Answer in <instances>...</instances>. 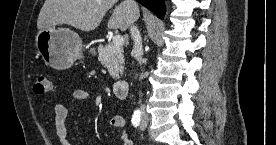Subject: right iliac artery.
<instances>
[{
	"label": "right iliac artery",
	"instance_id": "obj_1",
	"mask_svg": "<svg viewBox=\"0 0 276 145\" xmlns=\"http://www.w3.org/2000/svg\"><path fill=\"white\" fill-rule=\"evenodd\" d=\"M140 121H141V111L137 109L134 111L132 115L131 122L134 127H137L140 124Z\"/></svg>",
	"mask_w": 276,
	"mask_h": 145
}]
</instances>
